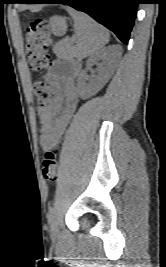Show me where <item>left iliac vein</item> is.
<instances>
[{
  "label": "left iliac vein",
  "mask_w": 166,
  "mask_h": 267,
  "mask_svg": "<svg viewBox=\"0 0 166 267\" xmlns=\"http://www.w3.org/2000/svg\"><path fill=\"white\" fill-rule=\"evenodd\" d=\"M59 235V229L56 222H53L50 228V236L52 240H56Z\"/></svg>",
  "instance_id": "left-iliac-vein-1"
}]
</instances>
